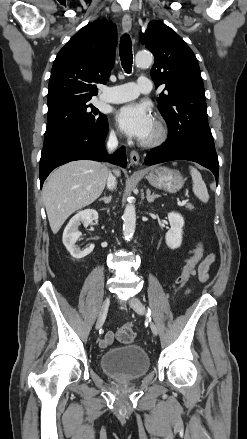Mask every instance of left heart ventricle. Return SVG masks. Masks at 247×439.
I'll list each match as a JSON object with an SVG mask.
<instances>
[{
    "mask_svg": "<svg viewBox=\"0 0 247 439\" xmlns=\"http://www.w3.org/2000/svg\"><path fill=\"white\" fill-rule=\"evenodd\" d=\"M154 132H155V125L153 126V129L146 140L150 139L154 135Z\"/></svg>",
    "mask_w": 247,
    "mask_h": 439,
    "instance_id": "b2bd125f",
    "label": "left heart ventricle"
}]
</instances>
